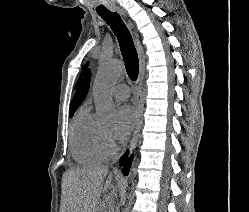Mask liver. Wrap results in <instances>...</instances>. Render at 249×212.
Returning a JSON list of instances; mask_svg holds the SVG:
<instances>
[{
	"instance_id": "liver-1",
	"label": "liver",
	"mask_w": 249,
	"mask_h": 212,
	"mask_svg": "<svg viewBox=\"0 0 249 212\" xmlns=\"http://www.w3.org/2000/svg\"><path fill=\"white\" fill-rule=\"evenodd\" d=\"M112 180L113 174L108 166H84L68 170L63 182L67 194V212H97L100 196L111 190Z\"/></svg>"
}]
</instances>
